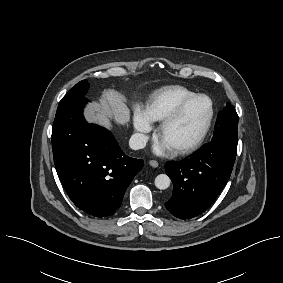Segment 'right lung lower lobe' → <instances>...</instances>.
<instances>
[{"mask_svg":"<svg viewBox=\"0 0 283 283\" xmlns=\"http://www.w3.org/2000/svg\"><path fill=\"white\" fill-rule=\"evenodd\" d=\"M87 101L81 97L58 106L51 137L53 157L72 202L90 215L106 217L120 207L144 162L127 156L108 130L86 122Z\"/></svg>","mask_w":283,"mask_h":283,"instance_id":"right-lung-lower-lobe-1","label":"right lung lower lobe"}]
</instances>
